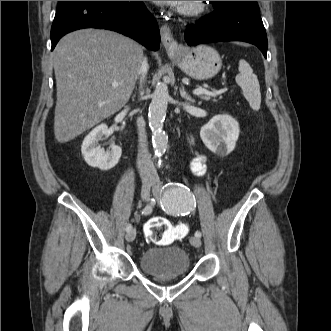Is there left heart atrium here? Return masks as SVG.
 I'll return each mask as SVG.
<instances>
[{
  "label": "left heart atrium",
  "instance_id": "left-heart-atrium-1",
  "mask_svg": "<svg viewBox=\"0 0 331 331\" xmlns=\"http://www.w3.org/2000/svg\"><path fill=\"white\" fill-rule=\"evenodd\" d=\"M154 3L158 4V5H179L181 3H183L184 1H153Z\"/></svg>",
  "mask_w": 331,
  "mask_h": 331
}]
</instances>
